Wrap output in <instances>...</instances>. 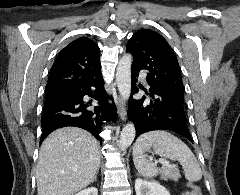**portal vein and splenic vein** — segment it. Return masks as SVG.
Masks as SVG:
<instances>
[{"label": "portal vein and splenic vein", "instance_id": "obj_1", "mask_svg": "<svg viewBox=\"0 0 240 195\" xmlns=\"http://www.w3.org/2000/svg\"><path fill=\"white\" fill-rule=\"evenodd\" d=\"M159 163H162V165H168L169 161H166V159H159Z\"/></svg>", "mask_w": 240, "mask_h": 195}]
</instances>
